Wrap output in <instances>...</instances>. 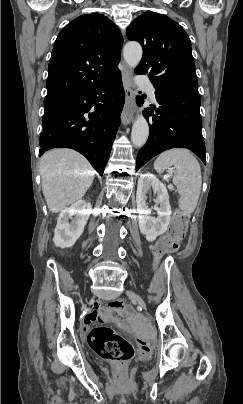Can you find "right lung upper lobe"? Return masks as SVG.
Listing matches in <instances>:
<instances>
[{
    "label": "right lung upper lobe",
    "instance_id": "right-lung-upper-lobe-1",
    "mask_svg": "<svg viewBox=\"0 0 243 404\" xmlns=\"http://www.w3.org/2000/svg\"><path fill=\"white\" fill-rule=\"evenodd\" d=\"M122 44L119 28L102 14L71 21L54 43L44 102L85 92L120 75Z\"/></svg>",
    "mask_w": 243,
    "mask_h": 404
}]
</instances>
